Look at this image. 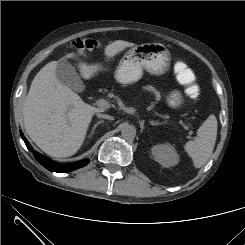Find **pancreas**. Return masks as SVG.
Wrapping results in <instances>:
<instances>
[{"mask_svg": "<svg viewBox=\"0 0 245 245\" xmlns=\"http://www.w3.org/2000/svg\"><path fill=\"white\" fill-rule=\"evenodd\" d=\"M143 90L152 92L156 96L157 101L161 99V94L155 87L148 85V86H144Z\"/></svg>", "mask_w": 245, "mask_h": 245, "instance_id": "obj_1", "label": "pancreas"}]
</instances>
